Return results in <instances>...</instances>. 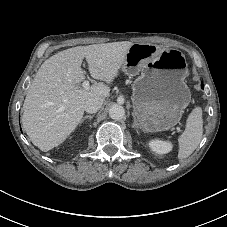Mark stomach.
<instances>
[{"mask_svg": "<svg viewBox=\"0 0 227 227\" xmlns=\"http://www.w3.org/2000/svg\"><path fill=\"white\" fill-rule=\"evenodd\" d=\"M122 71L128 76L140 74L133 84L132 102L144 132L165 131L179 123L191 100L185 83L187 62L179 50L134 43Z\"/></svg>", "mask_w": 227, "mask_h": 227, "instance_id": "1", "label": "stomach"}]
</instances>
